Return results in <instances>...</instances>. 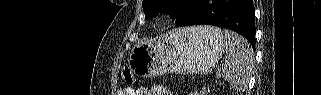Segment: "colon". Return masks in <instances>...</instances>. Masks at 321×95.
Instances as JSON below:
<instances>
[{
  "instance_id": "1",
  "label": "colon",
  "mask_w": 321,
  "mask_h": 95,
  "mask_svg": "<svg viewBox=\"0 0 321 95\" xmlns=\"http://www.w3.org/2000/svg\"><path fill=\"white\" fill-rule=\"evenodd\" d=\"M120 78H121L122 82L126 85H132L135 82V76L131 72V70L128 68L121 69ZM206 93H207V91L205 89H203L202 94H206Z\"/></svg>"
}]
</instances>
